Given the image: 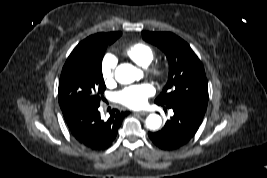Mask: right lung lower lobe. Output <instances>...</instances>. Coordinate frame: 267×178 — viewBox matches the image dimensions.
I'll use <instances>...</instances> for the list:
<instances>
[{"label":"right lung lower lobe","instance_id":"1","mask_svg":"<svg viewBox=\"0 0 267 178\" xmlns=\"http://www.w3.org/2000/svg\"><path fill=\"white\" fill-rule=\"evenodd\" d=\"M99 105L74 101L61 106L74 139L81 146L95 151L107 149L113 143L122 120L127 115L126 112L115 109L110 112L107 120H103L98 111Z\"/></svg>","mask_w":267,"mask_h":178}]
</instances>
